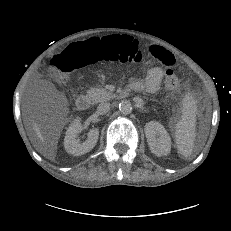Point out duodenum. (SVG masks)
<instances>
[{
	"instance_id": "1",
	"label": "duodenum",
	"mask_w": 231,
	"mask_h": 231,
	"mask_svg": "<svg viewBox=\"0 0 231 231\" xmlns=\"http://www.w3.org/2000/svg\"><path fill=\"white\" fill-rule=\"evenodd\" d=\"M91 98L88 95H79L76 98V106L79 110H87L90 106Z\"/></svg>"
}]
</instances>
